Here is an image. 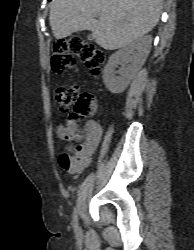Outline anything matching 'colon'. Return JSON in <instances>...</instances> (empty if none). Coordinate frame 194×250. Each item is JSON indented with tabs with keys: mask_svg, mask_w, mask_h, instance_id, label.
Here are the masks:
<instances>
[{
	"mask_svg": "<svg viewBox=\"0 0 194 250\" xmlns=\"http://www.w3.org/2000/svg\"><path fill=\"white\" fill-rule=\"evenodd\" d=\"M104 59L103 52L95 44L75 36L63 39L53 46L50 66L54 73H63L74 69L80 61L91 73L99 74ZM55 100L62 111L73 110L70 118L72 122L90 116L95 109L92 96L89 93H80L74 85L58 86ZM79 151V146L66 147L60 154V166L69 167Z\"/></svg>",
	"mask_w": 194,
	"mask_h": 250,
	"instance_id": "1",
	"label": "colon"
}]
</instances>
